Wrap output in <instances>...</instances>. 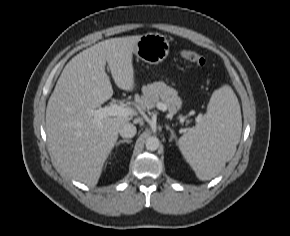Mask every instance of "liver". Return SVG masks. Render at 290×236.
<instances>
[{"label":"liver","mask_w":290,"mask_h":236,"mask_svg":"<svg viewBox=\"0 0 290 236\" xmlns=\"http://www.w3.org/2000/svg\"><path fill=\"white\" fill-rule=\"evenodd\" d=\"M140 35L101 41L74 56L64 67L46 108L49 147L60 169L75 180L95 186L128 116L103 118L89 114L120 89L133 91V53Z\"/></svg>","instance_id":"obj_1"}]
</instances>
